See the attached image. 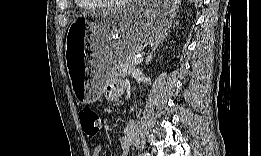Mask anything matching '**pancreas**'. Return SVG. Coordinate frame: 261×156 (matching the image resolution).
I'll return each instance as SVG.
<instances>
[{
    "instance_id": "cf45deb5",
    "label": "pancreas",
    "mask_w": 261,
    "mask_h": 156,
    "mask_svg": "<svg viewBox=\"0 0 261 156\" xmlns=\"http://www.w3.org/2000/svg\"><path fill=\"white\" fill-rule=\"evenodd\" d=\"M134 56H127L124 58H121L118 62L114 63L111 70L112 73L121 75V76H128L132 69L135 67V65H132L131 62L133 60Z\"/></svg>"
}]
</instances>
